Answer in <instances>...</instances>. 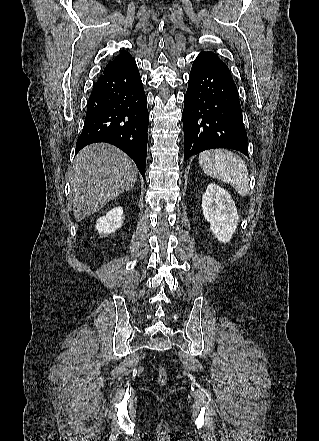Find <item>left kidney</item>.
Returning <instances> with one entry per match:
<instances>
[{"label": "left kidney", "instance_id": "1", "mask_svg": "<svg viewBox=\"0 0 319 441\" xmlns=\"http://www.w3.org/2000/svg\"><path fill=\"white\" fill-rule=\"evenodd\" d=\"M202 211L218 241L229 242L239 220L232 197L218 185L210 183L202 197Z\"/></svg>", "mask_w": 319, "mask_h": 441}]
</instances>
